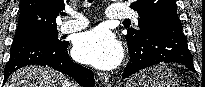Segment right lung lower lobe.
<instances>
[{
	"label": "right lung lower lobe",
	"instance_id": "98d812e1",
	"mask_svg": "<svg viewBox=\"0 0 205 87\" xmlns=\"http://www.w3.org/2000/svg\"><path fill=\"white\" fill-rule=\"evenodd\" d=\"M67 41L61 44L41 39L14 41L11 55L4 68V81L17 69L27 65L50 66L72 76L83 87H94V74L89 69L74 63L67 52Z\"/></svg>",
	"mask_w": 205,
	"mask_h": 87
}]
</instances>
